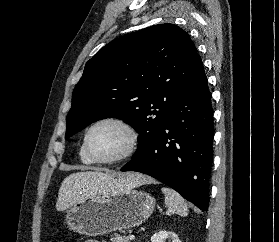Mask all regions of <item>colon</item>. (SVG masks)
Wrapping results in <instances>:
<instances>
[{"mask_svg":"<svg viewBox=\"0 0 279 242\" xmlns=\"http://www.w3.org/2000/svg\"><path fill=\"white\" fill-rule=\"evenodd\" d=\"M52 242H70V241H68V240H64V241L54 240V241H52Z\"/></svg>","mask_w":279,"mask_h":242,"instance_id":"colon-1","label":"colon"}]
</instances>
